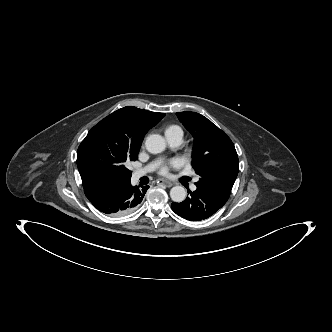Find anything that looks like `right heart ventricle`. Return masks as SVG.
Segmentation results:
<instances>
[{"instance_id":"obj_1","label":"right heart ventricle","mask_w":332,"mask_h":332,"mask_svg":"<svg viewBox=\"0 0 332 332\" xmlns=\"http://www.w3.org/2000/svg\"><path fill=\"white\" fill-rule=\"evenodd\" d=\"M165 136L166 138L173 136V135H181L183 136L182 129L178 125H169L165 129Z\"/></svg>"}]
</instances>
